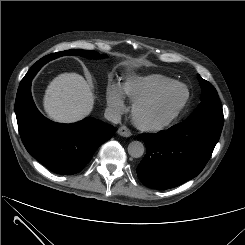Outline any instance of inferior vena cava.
I'll return each mask as SVG.
<instances>
[{
	"label": "inferior vena cava",
	"instance_id": "inferior-vena-cava-1",
	"mask_svg": "<svg viewBox=\"0 0 245 245\" xmlns=\"http://www.w3.org/2000/svg\"><path fill=\"white\" fill-rule=\"evenodd\" d=\"M104 117L108 121H110V122H112L114 124H118L121 121V115H120V113L117 110L112 109V108H107L105 110Z\"/></svg>",
	"mask_w": 245,
	"mask_h": 245
}]
</instances>
